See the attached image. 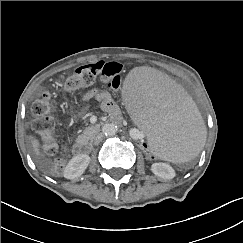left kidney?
<instances>
[{"instance_id":"obj_1","label":"left kidney","mask_w":243,"mask_h":243,"mask_svg":"<svg viewBox=\"0 0 243 243\" xmlns=\"http://www.w3.org/2000/svg\"><path fill=\"white\" fill-rule=\"evenodd\" d=\"M151 171L158 177L163 179H173L176 175L175 170L167 163L151 165Z\"/></svg>"}]
</instances>
